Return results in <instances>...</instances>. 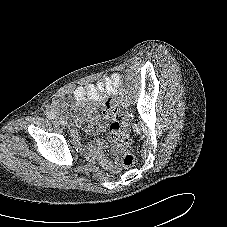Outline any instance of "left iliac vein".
Returning <instances> with one entry per match:
<instances>
[{
    "label": "left iliac vein",
    "instance_id": "4c4485c4",
    "mask_svg": "<svg viewBox=\"0 0 227 227\" xmlns=\"http://www.w3.org/2000/svg\"><path fill=\"white\" fill-rule=\"evenodd\" d=\"M121 103L123 107H129V101L125 97H121Z\"/></svg>",
    "mask_w": 227,
    "mask_h": 227
}]
</instances>
